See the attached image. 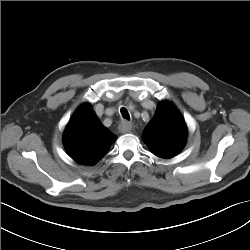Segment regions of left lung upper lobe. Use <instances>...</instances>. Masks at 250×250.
<instances>
[{
	"label": "left lung upper lobe",
	"instance_id": "1",
	"mask_svg": "<svg viewBox=\"0 0 250 250\" xmlns=\"http://www.w3.org/2000/svg\"><path fill=\"white\" fill-rule=\"evenodd\" d=\"M186 136V124L179 111L170 102L162 101L142 138L156 156L171 158L184 147Z\"/></svg>",
	"mask_w": 250,
	"mask_h": 250
}]
</instances>
